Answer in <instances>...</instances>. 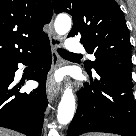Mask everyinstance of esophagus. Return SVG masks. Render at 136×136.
Returning a JSON list of instances; mask_svg holds the SVG:
<instances>
[{
	"label": "esophagus",
	"mask_w": 136,
	"mask_h": 136,
	"mask_svg": "<svg viewBox=\"0 0 136 136\" xmlns=\"http://www.w3.org/2000/svg\"><path fill=\"white\" fill-rule=\"evenodd\" d=\"M51 23H53V20ZM49 40L52 53V67L46 83V92L49 101H53L60 91V86L54 82L53 74L57 67L62 65V61L57 52V48L61 46V39L51 29L49 32Z\"/></svg>",
	"instance_id": "1"
}]
</instances>
